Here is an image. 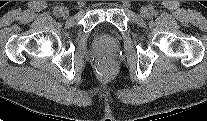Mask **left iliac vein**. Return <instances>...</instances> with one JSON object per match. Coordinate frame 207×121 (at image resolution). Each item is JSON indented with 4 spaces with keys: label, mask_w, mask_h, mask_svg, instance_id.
<instances>
[{
    "label": "left iliac vein",
    "mask_w": 207,
    "mask_h": 121,
    "mask_svg": "<svg viewBox=\"0 0 207 121\" xmlns=\"http://www.w3.org/2000/svg\"><path fill=\"white\" fill-rule=\"evenodd\" d=\"M140 14L142 17H148L150 15L149 9L147 7H142Z\"/></svg>",
    "instance_id": "obj_1"
}]
</instances>
